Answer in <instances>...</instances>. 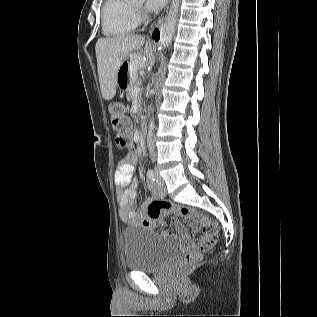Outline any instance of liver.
<instances>
[{"instance_id":"liver-1","label":"liver","mask_w":317,"mask_h":317,"mask_svg":"<svg viewBox=\"0 0 317 317\" xmlns=\"http://www.w3.org/2000/svg\"><path fill=\"white\" fill-rule=\"evenodd\" d=\"M145 38L139 35H120L116 37L100 38L96 42L95 51L97 68L102 96L111 100L116 94L117 74L124 60L133 52L136 53L137 66L144 67L146 62L138 51H142ZM154 48L146 42L144 53L152 56Z\"/></svg>"}]
</instances>
